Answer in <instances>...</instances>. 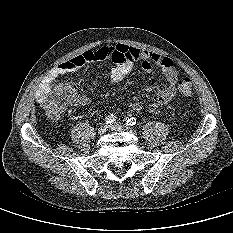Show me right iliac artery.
<instances>
[{"mask_svg":"<svg viewBox=\"0 0 233 233\" xmlns=\"http://www.w3.org/2000/svg\"><path fill=\"white\" fill-rule=\"evenodd\" d=\"M116 119H117V117L115 115L111 114L105 118V122H106V124H112L116 121Z\"/></svg>","mask_w":233,"mask_h":233,"instance_id":"obj_1","label":"right iliac artery"}]
</instances>
